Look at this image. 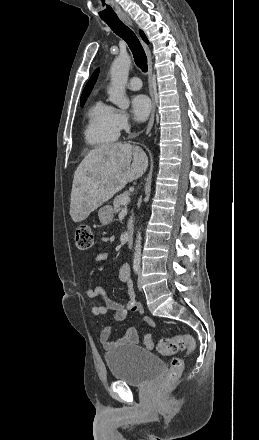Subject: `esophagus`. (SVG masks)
<instances>
[{"label":"esophagus","instance_id":"obj_1","mask_svg":"<svg viewBox=\"0 0 259 440\" xmlns=\"http://www.w3.org/2000/svg\"><path fill=\"white\" fill-rule=\"evenodd\" d=\"M120 18L127 24L132 25V21L130 20V18L126 15V14H122L120 15ZM144 50L147 56V64H148V82H149V93L151 96V100H152V111H151V115H150V119L146 128V134H148L154 124V118H155V110H156V98H155V93H154V85H153V80H152V56H151V52L149 47L144 43Z\"/></svg>","mask_w":259,"mask_h":440}]
</instances>
